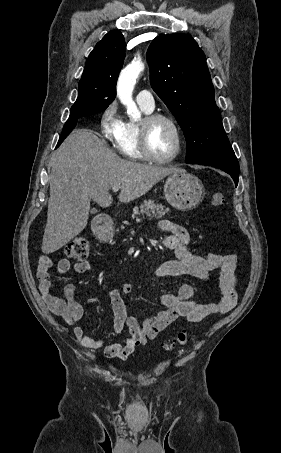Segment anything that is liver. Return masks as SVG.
<instances>
[{
    "label": "liver",
    "mask_w": 281,
    "mask_h": 453,
    "mask_svg": "<svg viewBox=\"0 0 281 453\" xmlns=\"http://www.w3.org/2000/svg\"><path fill=\"white\" fill-rule=\"evenodd\" d=\"M50 196L42 253H55L77 237L88 222L90 200L111 206L114 184L122 186L120 202L146 194L156 182L185 172L176 166H155L124 160L110 150L91 128H76L51 158Z\"/></svg>",
    "instance_id": "1"
}]
</instances>
